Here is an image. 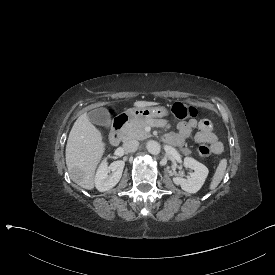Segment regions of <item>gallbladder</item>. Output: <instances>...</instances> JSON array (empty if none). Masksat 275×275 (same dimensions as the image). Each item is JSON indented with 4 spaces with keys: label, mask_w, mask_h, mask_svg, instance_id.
<instances>
[{
    "label": "gallbladder",
    "mask_w": 275,
    "mask_h": 275,
    "mask_svg": "<svg viewBox=\"0 0 275 275\" xmlns=\"http://www.w3.org/2000/svg\"><path fill=\"white\" fill-rule=\"evenodd\" d=\"M88 119L93 124L102 125L104 127H109L111 125L109 112L103 107L91 110L88 113Z\"/></svg>",
    "instance_id": "1"
}]
</instances>
